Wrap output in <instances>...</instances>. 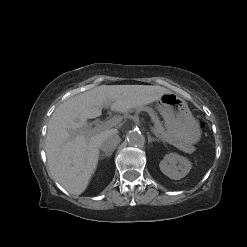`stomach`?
Listing matches in <instances>:
<instances>
[{"label":"stomach","instance_id":"1","mask_svg":"<svg viewBox=\"0 0 247 247\" xmlns=\"http://www.w3.org/2000/svg\"><path fill=\"white\" fill-rule=\"evenodd\" d=\"M167 132L185 146H193L201 138V129L185 100L170 92L157 101Z\"/></svg>","mask_w":247,"mask_h":247}]
</instances>
